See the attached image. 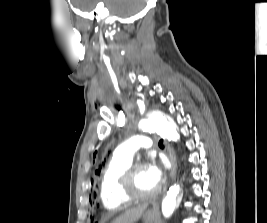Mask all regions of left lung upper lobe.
I'll use <instances>...</instances> for the list:
<instances>
[{"label": "left lung upper lobe", "mask_w": 267, "mask_h": 223, "mask_svg": "<svg viewBox=\"0 0 267 223\" xmlns=\"http://www.w3.org/2000/svg\"><path fill=\"white\" fill-rule=\"evenodd\" d=\"M100 173V168L95 171V174ZM88 214H101V209H98V206H91V209H88Z\"/></svg>", "instance_id": "obj_1"}]
</instances>
